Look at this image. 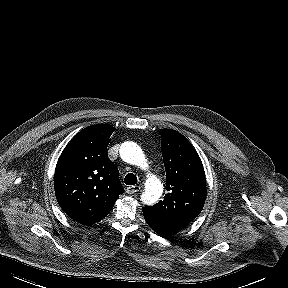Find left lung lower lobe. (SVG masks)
Listing matches in <instances>:
<instances>
[{
	"label": "left lung lower lobe",
	"instance_id": "obj_1",
	"mask_svg": "<svg viewBox=\"0 0 288 288\" xmlns=\"http://www.w3.org/2000/svg\"><path fill=\"white\" fill-rule=\"evenodd\" d=\"M143 215L147 224L158 234L162 236H170L178 233L181 229L171 226L158 218L152 216L145 208H143Z\"/></svg>",
	"mask_w": 288,
	"mask_h": 288
}]
</instances>
